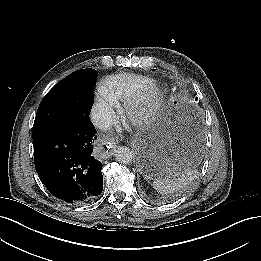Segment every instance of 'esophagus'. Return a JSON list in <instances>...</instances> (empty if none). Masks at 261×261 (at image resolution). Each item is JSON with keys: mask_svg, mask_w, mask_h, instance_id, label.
<instances>
[{"mask_svg": "<svg viewBox=\"0 0 261 261\" xmlns=\"http://www.w3.org/2000/svg\"><path fill=\"white\" fill-rule=\"evenodd\" d=\"M112 148H114V147H112ZM112 154H113L112 150L107 149V150L103 153V157L109 158L110 156H112Z\"/></svg>", "mask_w": 261, "mask_h": 261, "instance_id": "obj_1", "label": "esophagus"}]
</instances>
